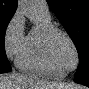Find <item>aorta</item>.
Returning a JSON list of instances; mask_svg holds the SVG:
<instances>
[{
  "instance_id": "762f6f07",
  "label": "aorta",
  "mask_w": 89,
  "mask_h": 89,
  "mask_svg": "<svg viewBox=\"0 0 89 89\" xmlns=\"http://www.w3.org/2000/svg\"><path fill=\"white\" fill-rule=\"evenodd\" d=\"M18 7L31 22H35L36 17L34 0H19Z\"/></svg>"
}]
</instances>
